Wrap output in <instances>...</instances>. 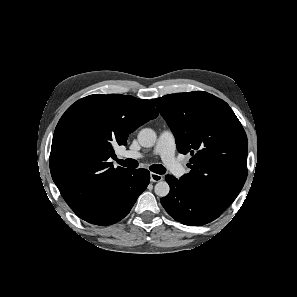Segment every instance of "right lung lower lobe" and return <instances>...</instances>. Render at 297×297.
Here are the masks:
<instances>
[{"label":"right lung lower lobe","instance_id":"98d812e1","mask_svg":"<svg viewBox=\"0 0 297 297\" xmlns=\"http://www.w3.org/2000/svg\"><path fill=\"white\" fill-rule=\"evenodd\" d=\"M149 181L148 170L131 169L90 213L80 218L100 226L120 221L129 213L139 195L147 188Z\"/></svg>","mask_w":297,"mask_h":297}]
</instances>
